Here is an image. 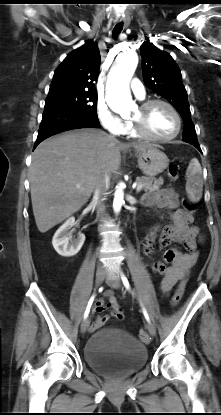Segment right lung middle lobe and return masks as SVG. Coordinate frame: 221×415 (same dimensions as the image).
<instances>
[{"instance_id":"1","label":"right lung middle lobe","mask_w":221,"mask_h":415,"mask_svg":"<svg viewBox=\"0 0 221 415\" xmlns=\"http://www.w3.org/2000/svg\"><path fill=\"white\" fill-rule=\"evenodd\" d=\"M45 109L77 111L94 118L97 117V93L86 90H65L49 93Z\"/></svg>"}]
</instances>
